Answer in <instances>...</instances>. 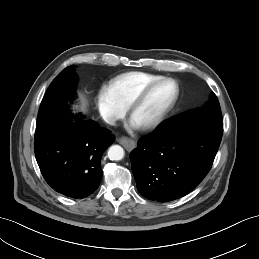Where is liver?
I'll list each match as a JSON object with an SVG mask.
<instances>
[{
	"instance_id": "6515ba94",
	"label": "liver",
	"mask_w": 259,
	"mask_h": 259,
	"mask_svg": "<svg viewBox=\"0 0 259 259\" xmlns=\"http://www.w3.org/2000/svg\"><path fill=\"white\" fill-rule=\"evenodd\" d=\"M84 107V102H83V104H82V108Z\"/></svg>"
}]
</instances>
